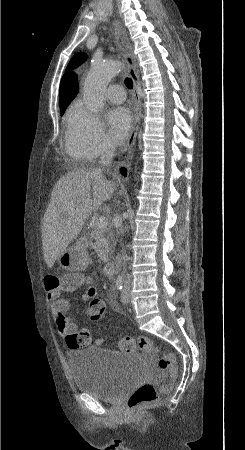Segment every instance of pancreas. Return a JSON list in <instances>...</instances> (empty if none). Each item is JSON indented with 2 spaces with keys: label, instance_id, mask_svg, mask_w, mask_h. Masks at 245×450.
Returning a JSON list of instances; mask_svg holds the SVG:
<instances>
[{
  "label": "pancreas",
  "instance_id": "pancreas-1",
  "mask_svg": "<svg viewBox=\"0 0 245 450\" xmlns=\"http://www.w3.org/2000/svg\"><path fill=\"white\" fill-rule=\"evenodd\" d=\"M89 241L91 248L97 252L99 258L103 262H108L113 242L112 233L107 229L94 227L90 233Z\"/></svg>",
  "mask_w": 245,
  "mask_h": 450
}]
</instances>
